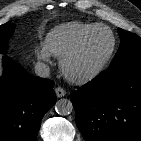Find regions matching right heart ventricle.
Listing matches in <instances>:
<instances>
[{
    "label": "right heart ventricle",
    "mask_w": 141,
    "mask_h": 141,
    "mask_svg": "<svg viewBox=\"0 0 141 141\" xmlns=\"http://www.w3.org/2000/svg\"><path fill=\"white\" fill-rule=\"evenodd\" d=\"M94 23L72 21L51 29L45 36L44 48L53 56L61 57Z\"/></svg>",
    "instance_id": "obj_1"
}]
</instances>
